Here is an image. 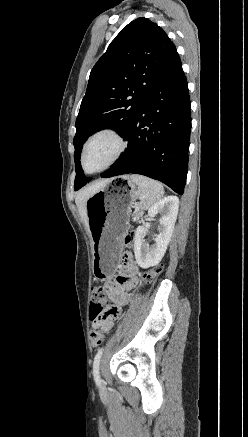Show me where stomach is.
<instances>
[{
	"instance_id": "obj_1",
	"label": "stomach",
	"mask_w": 248,
	"mask_h": 437,
	"mask_svg": "<svg viewBox=\"0 0 248 437\" xmlns=\"http://www.w3.org/2000/svg\"><path fill=\"white\" fill-rule=\"evenodd\" d=\"M136 188L129 176L109 180L86 202L96 278L111 277L128 231Z\"/></svg>"
}]
</instances>
